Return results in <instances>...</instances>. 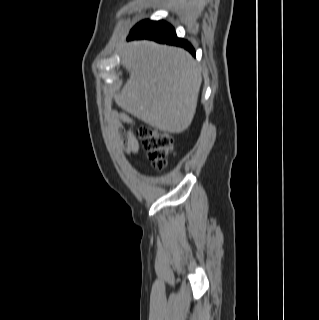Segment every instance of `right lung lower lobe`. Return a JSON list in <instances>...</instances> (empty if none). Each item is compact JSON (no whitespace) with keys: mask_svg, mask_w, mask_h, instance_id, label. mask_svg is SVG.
Wrapping results in <instances>:
<instances>
[{"mask_svg":"<svg viewBox=\"0 0 319 320\" xmlns=\"http://www.w3.org/2000/svg\"><path fill=\"white\" fill-rule=\"evenodd\" d=\"M142 38L152 39L160 43L182 46L195 55V51L191 44L186 40L177 38L174 28L163 21H146L133 28L127 39Z\"/></svg>","mask_w":319,"mask_h":320,"instance_id":"1","label":"right lung lower lobe"}]
</instances>
